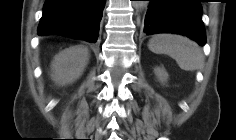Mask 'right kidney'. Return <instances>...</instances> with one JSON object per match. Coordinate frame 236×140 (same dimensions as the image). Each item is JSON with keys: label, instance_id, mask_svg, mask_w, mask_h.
<instances>
[{"label": "right kidney", "instance_id": "obj_1", "mask_svg": "<svg viewBox=\"0 0 236 140\" xmlns=\"http://www.w3.org/2000/svg\"><path fill=\"white\" fill-rule=\"evenodd\" d=\"M89 61L88 48L76 45L59 52L51 63L52 80L58 85L75 82Z\"/></svg>", "mask_w": 236, "mask_h": 140}]
</instances>
